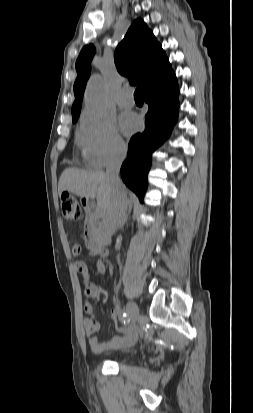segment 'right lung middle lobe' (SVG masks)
<instances>
[{
  "mask_svg": "<svg viewBox=\"0 0 253 413\" xmlns=\"http://www.w3.org/2000/svg\"><path fill=\"white\" fill-rule=\"evenodd\" d=\"M77 120H78V118L74 119V120H73V123H75Z\"/></svg>",
  "mask_w": 253,
  "mask_h": 413,
  "instance_id": "obj_1",
  "label": "right lung middle lobe"
}]
</instances>
